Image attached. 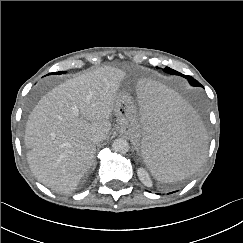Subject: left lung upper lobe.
<instances>
[{"instance_id": "5c2ea615", "label": "left lung upper lobe", "mask_w": 243, "mask_h": 243, "mask_svg": "<svg viewBox=\"0 0 243 243\" xmlns=\"http://www.w3.org/2000/svg\"><path fill=\"white\" fill-rule=\"evenodd\" d=\"M164 71L167 72V73H169V74L180 75V76L185 77L186 79H188L189 83L192 86H201V84L197 80H195L194 78H192L191 76L183 75V74H181V73H179V72H177V71H175V70H173V69H171L169 67H166L164 69Z\"/></svg>"}]
</instances>
